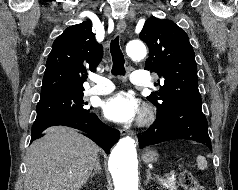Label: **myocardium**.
Listing matches in <instances>:
<instances>
[{
  "instance_id": "myocardium-1",
  "label": "myocardium",
  "mask_w": 238,
  "mask_h": 190,
  "mask_svg": "<svg viewBox=\"0 0 238 190\" xmlns=\"http://www.w3.org/2000/svg\"><path fill=\"white\" fill-rule=\"evenodd\" d=\"M153 119H154V114L152 110L145 107L141 112V115L139 118V125L146 126L150 124L153 121Z\"/></svg>"
}]
</instances>
